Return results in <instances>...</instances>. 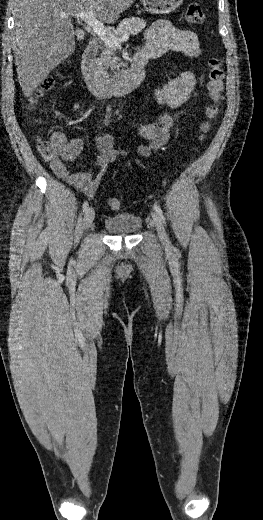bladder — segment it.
Segmentation results:
<instances>
[{
	"mask_svg": "<svg viewBox=\"0 0 263 520\" xmlns=\"http://www.w3.org/2000/svg\"><path fill=\"white\" fill-rule=\"evenodd\" d=\"M143 225L142 218L135 213H120L108 216L103 221L106 232L114 235H129L138 232Z\"/></svg>",
	"mask_w": 263,
	"mask_h": 520,
	"instance_id": "bladder-1",
	"label": "bladder"
}]
</instances>
